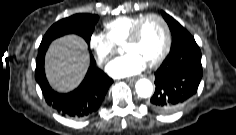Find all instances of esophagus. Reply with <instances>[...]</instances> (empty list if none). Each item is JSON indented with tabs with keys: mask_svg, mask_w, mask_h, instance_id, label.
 <instances>
[{
	"mask_svg": "<svg viewBox=\"0 0 236 135\" xmlns=\"http://www.w3.org/2000/svg\"><path fill=\"white\" fill-rule=\"evenodd\" d=\"M127 81L128 82H134V81H136V78H128Z\"/></svg>",
	"mask_w": 236,
	"mask_h": 135,
	"instance_id": "1",
	"label": "esophagus"
}]
</instances>
